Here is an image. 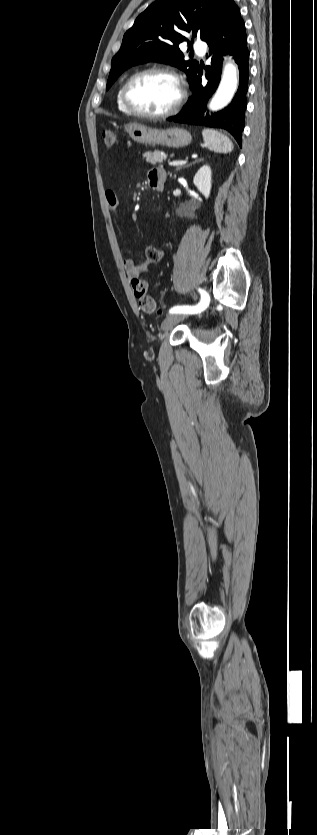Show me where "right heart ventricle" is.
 <instances>
[{
	"label": "right heart ventricle",
	"instance_id": "obj_1",
	"mask_svg": "<svg viewBox=\"0 0 317 835\" xmlns=\"http://www.w3.org/2000/svg\"><path fill=\"white\" fill-rule=\"evenodd\" d=\"M125 82H123L121 84V86L119 87L118 92H117V96H116L117 107H118L119 111H121L122 113L127 114V115H132L130 113V111L126 108V106L124 105L123 100H122V90H123Z\"/></svg>",
	"mask_w": 317,
	"mask_h": 835
}]
</instances>
